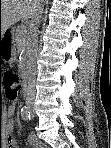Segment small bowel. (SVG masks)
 <instances>
[{"label": "small bowel", "instance_id": "c3829d8e", "mask_svg": "<svg viewBox=\"0 0 111 148\" xmlns=\"http://www.w3.org/2000/svg\"><path fill=\"white\" fill-rule=\"evenodd\" d=\"M16 106L15 104H11L8 107V113L9 115H13L15 113ZM14 130V124H8L7 126V145L6 148H12V147H17L15 140L12 138V133ZM29 143L31 147L33 148H42L44 147L43 144L34 136V135H29Z\"/></svg>", "mask_w": 111, "mask_h": 148}]
</instances>
